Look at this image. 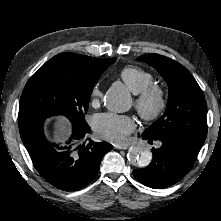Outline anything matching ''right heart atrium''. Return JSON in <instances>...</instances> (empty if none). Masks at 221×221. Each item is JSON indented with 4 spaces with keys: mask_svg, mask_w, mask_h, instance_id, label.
Segmentation results:
<instances>
[{
    "mask_svg": "<svg viewBox=\"0 0 221 221\" xmlns=\"http://www.w3.org/2000/svg\"><path fill=\"white\" fill-rule=\"evenodd\" d=\"M102 96V91L99 83L94 84L91 90V103L96 104Z\"/></svg>",
    "mask_w": 221,
    "mask_h": 221,
    "instance_id": "obj_1",
    "label": "right heart atrium"
}]
</instances>
